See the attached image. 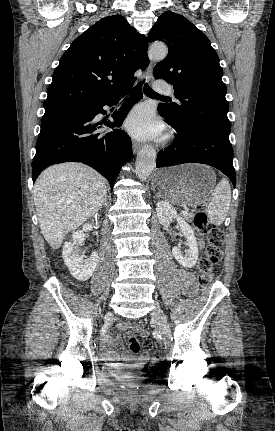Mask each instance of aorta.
I'll use <instances>...</instances> for the list:
<instances>
[{
  "mask_svg": "<svg viewBox=\"0 0 275 431\" xmlns=\"http://www.w3.org/2000/svg\"><path fill=\"white\" fill-rule=\"evenodd\" d=\"M168 53V49L164 44H153L148 56L151 60H163ZM156 165V151L150 145L144 146L138 153L136 159V174L141 180H145L152 173Z\"/></svg>",
  "mask_w": 275,
  "mask_h": 431,
  "instance_id": "762f6f07",
  "label": "aorta"
}]
</instances>
